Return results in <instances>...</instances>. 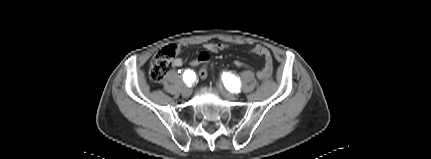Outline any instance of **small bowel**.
<instances>
[{
  "label": "small bowel",
  "mask_w": 431,
  "mask_h": 159,
  "mask_svg": "<svg viewBox=\"0 0 431 159\" xmlns=\"http://www.w3.org/2000/svg\"><path fill=\"white\" fill-rule=\"evenodd\" d=\"M227 47L228 45L224 43H207L204 46L205 51H209L211 53H217L226 49ZM252 53L263 58V65L257 71L258 77L261 79L268 78L272 73V57L269 50L261 45H256L253 47ZM172 64L176 68L181 67L183 65V60L179 57H176Z\"/></svg>",
  "instance_id": "c3829d8e"
}]
</instances>
